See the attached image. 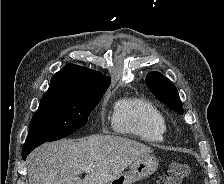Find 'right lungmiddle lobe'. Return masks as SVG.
I'll list each match as a JSON object with an SVG mask.
<instances>
[{
  "mask_svg": "<svg viewBox=\"0 0 224 184\" xmlns=\"http://www.w3.org/2000/svg\"><path fill=\"white\" fill-rule=\"evenodd\" d=\"M106 89L77 97H44L32 117L23 148L59 140L83 127Z\"/></svg>",
  "mask_w": 224,
  "mask_h": 184,
  "instance_id": "dd1d6c3e",
  "label": "right lung middle lobe"
}]
</instances>
